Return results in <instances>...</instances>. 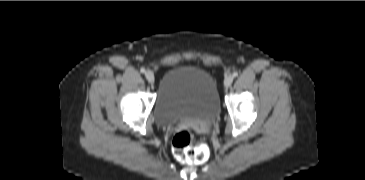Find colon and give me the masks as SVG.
Here are the masks:
<instances>
[{"label":"colon","mask_w":365,"mask_h":180,"mask_svg":"<svg viewBox=\"0 0 365 180\" xmlns=\"http://www.w3.org/2000/svg\"><path fill=\"white\" fill-rule=\"evenodd\" d=\"M194 137L190 130L183 129L177 132L172 139V151L177 159L189 165H197L206 162L210 156L207 145H193Z\"/></svg>","instance_id":"obj_1"}]
</instances>
